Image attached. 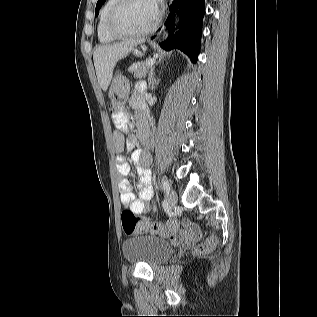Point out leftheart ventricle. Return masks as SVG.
<instances>
[{"label":"left heart ventricle","mask_w":317,"mask_h":317,"mask_svg":"<svg viewBox=\"0 0 317 317\" xmlns=\"http://www.w3.org/2000/svg\"><path fill=\"white\" fill-rule=\"evenodd\" d=\"M155 15L153 0H127L116 17L115 26L120 31L137 32L148 27Z\"/></svg>","instance_id":"b2bd125f"}]
</instances>
